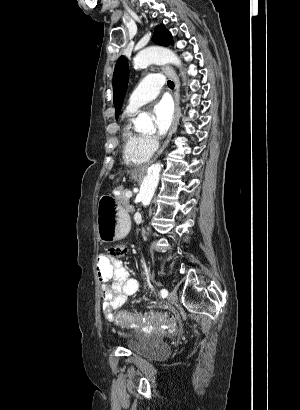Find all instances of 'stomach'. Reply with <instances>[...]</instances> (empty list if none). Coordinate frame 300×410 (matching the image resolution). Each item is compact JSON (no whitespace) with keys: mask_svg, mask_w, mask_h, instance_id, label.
Returning <instances> with one entry per match:
<instances>
[{"mask_svg":"<svg viewBox=\"0 0 300 410\" xmlns=\"http://www.w3.org/2000/svg\"><path fill=\"white\" fill-rule=\"evenodd\" d=\"M137 179V176H133ZM130 219L127 212L111 196L100 198L97 208V231L103 242H113L126 236Z\"/></svg>","mask_w":300,"mask_h":410,"instance_id":"obj_1","label":"stomach"}]
</instances>
